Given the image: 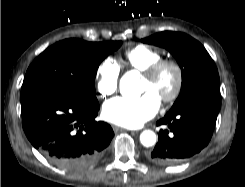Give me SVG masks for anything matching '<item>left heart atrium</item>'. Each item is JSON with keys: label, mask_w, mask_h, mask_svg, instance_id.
<instances>
[{"label": "left heart atrium", "mask_w": 245, "mask_h": 187, "mask_svg": "<svg viewBox=\"0 0 245 187\" xmlns=\"http://www.w3.org/2000/svg\"><path fill=\"white\" fill-rule=\"evenodd\" d=\"M160 108V97L152 90L145 91L136 99L115 98L106 102L102 114L113 124L137 128L151 119Z\"/></svg>", "instance_id": "obj_1"}]
</instances>
